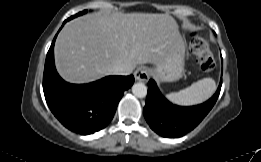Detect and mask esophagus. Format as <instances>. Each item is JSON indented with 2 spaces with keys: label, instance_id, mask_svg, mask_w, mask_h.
I'll return each instance as SVG.
<instances>
[{
  "label": "esophagus",
  "instance_id": "1",
  "mask_svg": "<svg viewBox=\"0 0 261 162\" xmlns=\"http://www.w3.org/2000/svg\"><path fill=\"white\" fill-rule=\"evenodd\" d=\"M134 77L137 81L146 82L150 77V71L146 67H139L135 70Z\"/></svg>",
  "mask_w": 261,
  "mask_h": 162
}]
</instances>
